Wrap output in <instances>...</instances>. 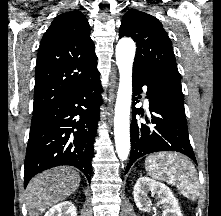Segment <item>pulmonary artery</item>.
<instances>
[{
  "label": "pulmonary artery",
  "mask_w": 221,
  "mask_h": 216,
  "mask_svg": "<svg viewBox=\"0 0 221 216\" xmlns=\"http://www.w3.org/2000/svg\"><path fill=\"white\" fill-rule=\"evenodd\" d=\"M146 104H148V99L146 100Z\"/></svg>",
  "instance_id": "obj_1"
}]
</instances>
